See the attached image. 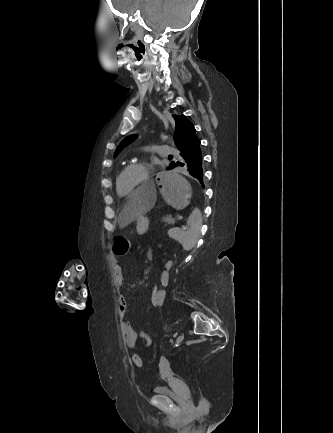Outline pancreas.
<instances>
[{"instance_id": "obj_1", "label": "pancreas", "mask_w": 333, "mask_h": 433, "mask_svg": "<svg viewBox=\"0 0 333 433\" xmlns=\"http://www.w3.org/2000/svg\"><path fill=\"white\" fill-rule=\"evenodd\" d=\"M161 220L167 224H173L175 222V220L172 218L171 215H167V216L163 217Z\"/></svg>"}]
</instances>
